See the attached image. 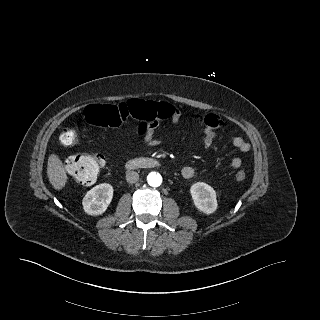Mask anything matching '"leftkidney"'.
<instances>
[{
    "mask_svg": "<svg viewBox=\"0 0 320 320\" xmlns=\"http://www.w3.org/2000/svg\"><path fill=\"white\" fill-rule=\"evenodd\" d=\"M190 193L195 207L205 213L212 214L217 209L215 190L204 182H197L190 188Z\"/></svg>",
    "mask_w": 320,
    "mask_h": 320,
    "instance_id": "obj_1",
    "label": "left kidney"
}]
</instances>
